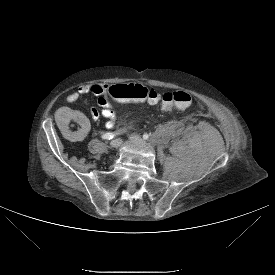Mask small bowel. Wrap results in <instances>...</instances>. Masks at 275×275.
<instances>
[{"label": "small bowel", "instance_id": "c3829d8e", "mask_svg": "<svg viewBox=\"0 0 275 275\" xmlns=\"http://www.w3.org/2000/svg\"><path fill=\"white\" fill-rule=\"evenodd\" d=\"M110 85L105 83L85 84L70 93L67 97L69 103L83 99L85 95L97 97L99 109L92 108L91 116L95 120L101 117L105 119L104 125L107 129L115 126L116 115L109 97ZM55 127L57 131L71 142H79L89 133L90 124L87 117L79 108H61L56 112Z\"/></svg>", "mask_w": 275, "mask_h": 275}]
</instances>
